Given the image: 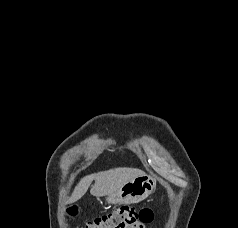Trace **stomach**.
Wrapping results in <instances>:
<instances>
[{
	"mask_svg": "<svg viewBox=\"0 0 238 228\" xmlns=\"http://www.w3.org/2000/svg\"><path fill=\"white\" fill-rule=\"evenodd\" d=\"M156 181L149 175L143 174L126 182L113 195H108L109 204H133L146 199L155 189Z\"/></svg>",
	"mask_w": 238,
	"mask_h": 228,
	"instance_id": "1",
	"label": "stomach"
}]
</instances>
